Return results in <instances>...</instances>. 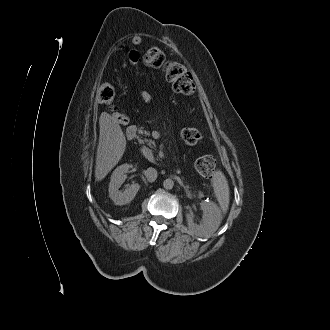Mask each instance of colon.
<instances>
[{
    "instance_id": "colon-1",
    "label": "colon",
    "mask_w": 330,
    "mask_h": 330,
    "mask_svg": "<svg viewBox=\"0 0 330 330\" xmlns=\"http://www.w3.org/2000/svg\"><path fill=\"white\" fill-rule=\"evenodd\" d=\"M130 54L135 56L137 52ZM143 63L148 68L161 69L166 80L171 83L172 90L181 95H191L195 90L194 78L188 69L181 63L167 61L164 52L158 47H150L143 55ZM99 100L103 103H111L115 97V90L110 84H103L98 91ZM113 118L118 122H124L126 115L114 111ZM181 137L187 144H197L202 140V134L195 128H186ZM196 169L203 176L211 175L215 170V160L211 156L200 157L196 161Z\"/></svg>"
}]
</instances>
